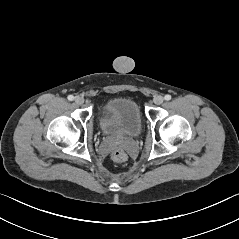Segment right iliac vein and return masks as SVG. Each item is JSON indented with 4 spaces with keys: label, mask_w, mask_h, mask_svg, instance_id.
I'll return each instance as SVG.
<instances>
[{
    "label": "right iliac vein",
    "mask_w": 239,
    "mask_h": 239,
    "mask_svg": "<svg viewBox=\"0 0 239 239\" xmlns=\"http://www.w3.org/2000/svg\"><path fill=\"white\" fill-rule=\"evenodd\" d=\"M83 102H84V99L82 97H80V96L75 97V103L77 105H81V104H83Z\"/></svg>",
    "instance_id": "obj_1"
}]
</instances>
